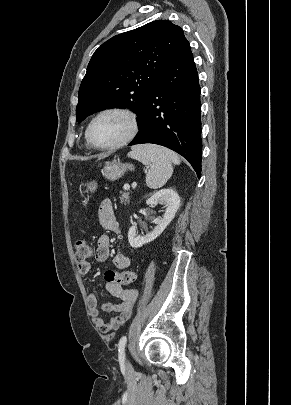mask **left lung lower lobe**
Listing matches in <instances>:
<instances>
[{
	"instance_id": "obj_1",
	"label": "left lung lower lobe",
	"mask_w": 291,
	"mask_h": 405,
	"mask_svg": "<svg viewBox=\"0 0 291 405\" xmlns=\"http://www.w3.org/2000/svg\"><path fill=\"white\" fill-rule=\"evenodd\" d=\"M200 85L189 42L168 64L146 98L141 129L129 144L153 143L186 158L201 176Z\"/></svg>"
}]
</instances>
